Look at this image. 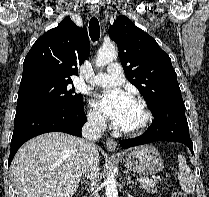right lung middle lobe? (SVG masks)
<instances>
[{"label":"right lung middle lobe","mask_w":209,"mask_h":197,"mask_svg":"<svg viewBox=\"0 0 209 197\" xmlns=\"http://www.w3.org/2000/svg\"><path fill=\"white\" fill-rule=\"evenodd\" d=\"M72 80H37L20 84L16 114L38 107L79 106L81 94L71 87Z\"/></svg>","instance_id":"dd1d6c3e"}]
</instances>
